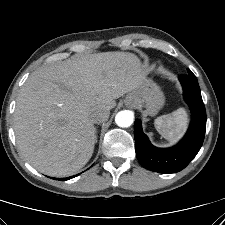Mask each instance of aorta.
Wrapping results in <instances>:
<instances>
[{"label": "aorta", "mask_w": 225, "mask_h": 225, "mask_svg": "<svg viewBox=\"0 0 225 225\" xmlns=\"http://www.w3.org/2000/svg\"><path fill=\"white\" fill-rule=\"evenodd\" d=\"M134 121V115L129 110H123L117 113L115 116V122L119 127L126 128L132 125Z\"/></svg>", "instance_id": "1"}]
</instances>
